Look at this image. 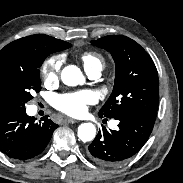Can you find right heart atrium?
I'll use <instances>...</instances> for the list:
<instances>
[{"instance_id":"1","label":"right heart atrium","mask_w":183,"mask_h":183,"mask_svg":"<svg viewBox=\"0 0 183 183\" xmlns=\"http://www.w3.org/2000/svg\"><path fill=\"white\" fill-rule=\"evenodd\" d=\"M62 66V60L59 57L53 56L46 59L41 67V76L46 84H54L59 79V74Z\"/></svg>"}]
</instances>
